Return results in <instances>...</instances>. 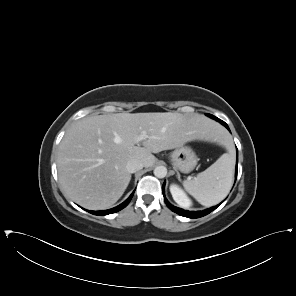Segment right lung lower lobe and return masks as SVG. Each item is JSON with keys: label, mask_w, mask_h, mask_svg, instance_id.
I'll return each instance as SVG.
<instances>
[{"label": "right lung lower lobe", "mask_w": 296, "mask_h": 296, "mask_svg": "<svg viewBox=\"0 0 296 296\" xmlns=\"http://www.w3.org/2000/svg\"><path fill=\"white\" fill-rule=\"evenodd\" d=\"M134 192L130 195V197L124 201L122 204H120L119 206L109 209V210H104V211H88L94 215H99V216H103V215H107V214H112L115 213L121 209H123L124 207H126L128 205V203L130 202L132 196H133Z\"/></svg>", "instance_id": "1"}]
</instances>
